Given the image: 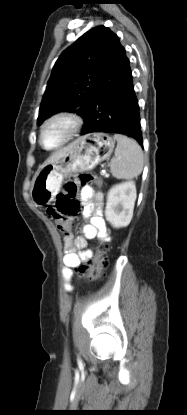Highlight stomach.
<instances>
[{
  "instance_id": "0dacf381",
  "label": "stomach",
  "mask_w": 187,
  "mask_h": 415,
  "mask_svg": "<svg viewBox=\"0 0 187 415\" xmlns=\"http://www.w3.org/2000/svg\"><path fill=\"white\" fill-rule=\"evenodd\" d=\"M114 147L115 139L107 133H92L75 140L63 157L44 164L36 172L30 189L34 204H50L65 177L93 169L110 157Z\"/></svg>"
}]
</instances>
